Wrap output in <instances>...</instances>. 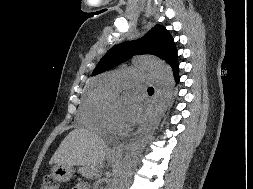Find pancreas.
Segmentation results:
<instances>
[{
  "label": "pancreas",
  "instance_id": "cf45deb5",
  "mask_svg": "<svg viewBox=\"0 0 253 189\" xmlns=\"http://www.w3.org/2000/svg\"><path fill=\"white\" fill-rule=\"evenodd\" d=\"M80 173L86 178H93L96 175V171L89 166L82 167Z\"/></svg>",
  "mask_w": 253,
  "mask_h": 189
}]
</instances>
